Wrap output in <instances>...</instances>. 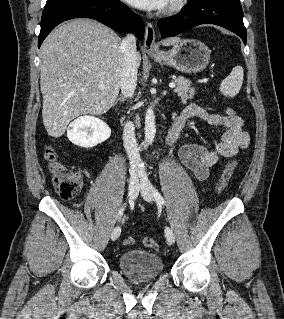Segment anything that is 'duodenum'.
<instances>
[{
    "instance_id": "obj_1",
    "label": "duodenum",
    "mask_w": 284,
    "mask_h": 319,
    "mask_svg": "<svg viewBox=\"0 0 284 319\" xmlns=\"http://www.w3.org/2000/svg\"><path fill=\"white\" fill-rule=\"evenodd\" d=\"M177 134H178V130L175 127V125L172 124L170 126V128L168 129L167 133H166V137H165L166 138V142L168 144L173 143L175 141V139H176Z\"/></svg>"
}]
</instances>
